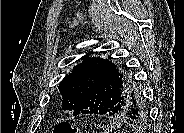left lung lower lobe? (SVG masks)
Returning <instances> with one entry per match:
<instances>
[{"label":"left lung lower lobe","mask_w":184,"mask_h":133,"mask_svg":"<svg viewBox=\"0 0 184 133\" xmlns=\"http://www.w3.org/2000/svg\"><path fill=\"white\" fill-rule=\"evenodd\" d=\"M132 78L126 81L118 74L117 70L111 66L110 62L99 59L98 69L95 73L94 84L88 96L96 94L95 100L88 101L87 96L73 111V115L99 114L113 118H121L134 127L136 124V114L132 111L143 95L140 86L136 85V80Z\"/></svg>","instance_id":"left-lung-lower-lobe-1"}]
</instances>
